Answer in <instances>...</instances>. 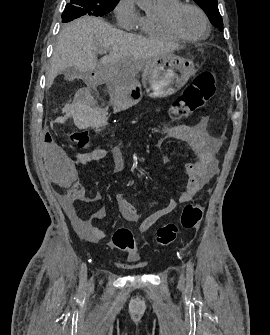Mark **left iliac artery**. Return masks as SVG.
<instances>
[{
  "mask_svg": "<svg viewBox=\"0 0 270 335\" xmlns=\"http://www.w3.org/2000/svg\"><path fill=\"white\" fill-rule=\"evenodd\" d=\"M193 283V266L191 263L187 266V284L192 286Z\"/></svg>",
  "mask_w": 270,
  "mask_h": 335,
  "instance_id": "1",
  "label": "left iliac artery"
}]
</instances>
